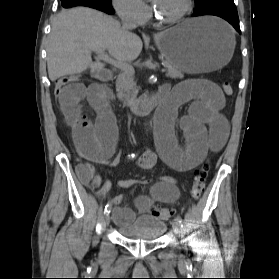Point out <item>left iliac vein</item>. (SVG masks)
I'll return each instance as SVG.
<instances>
[{"instance_id": "1", "label": "left iliac vein", "mask_w": 279, "mask_h": 279, "mask_svg": "<svg viewBox=\"0 0 279 279\" xmlns=\"http://www.w3.org/2000/svg\"><path fill=\"white\" fill-rule=\"evenodd\" d=\"M172 228L175 234H179L181 232V227L177 220L173 221Z\"/></svg>"}]
</instances>
